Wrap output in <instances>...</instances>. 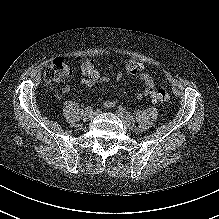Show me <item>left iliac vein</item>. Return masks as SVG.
Here are the masks:
<instances>
[{"mask_svg": "<svg viewBox=\"0 0 219 219\" xmlns=\"http://www.w3.org/2000/svg\"><path fill=\"white\" fill-rule=\"evenodd\" d=\"M116 114H117V116L123 121V123H124L126 126H128V127L133 126V124H134L133 119H132L131 117L125 115V114L121 111V109H118V110L116 111Z\"/></svg>", "mask_w": 219, "mask_h": 219, "instance_id": "1", "label": "left iliac vein"}]
</instances>
